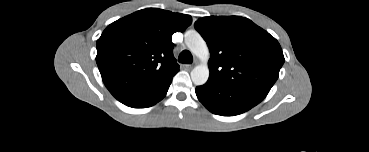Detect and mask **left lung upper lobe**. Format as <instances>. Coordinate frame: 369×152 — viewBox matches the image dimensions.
Listing matches in <instances>:
<instances>
[{"label": "left lung upper lobe", "mask_w": 369, "mask_h": 152, "mask_svg": "<svg viewBox=\"0 0 369 152\" xmlns=\"http://www.w3.org/2000/svg\"><path fill=\"white\" fill-rule=\"evenodd\" d=\"M210 50L209 80L264 97L284 63L278 41L241 16H210L195 22Z\"/></svg>", "instance_id": "5c2ea615"}]
</instances>
